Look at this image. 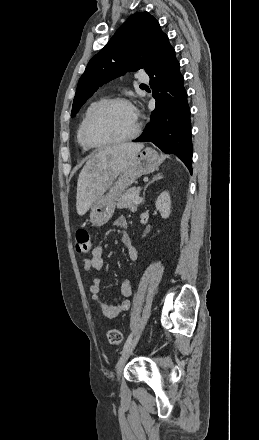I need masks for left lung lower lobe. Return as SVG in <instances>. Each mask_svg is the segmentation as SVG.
I'll return each instance as SVG.
<instances>
[{
    "mask_svg": "<svg viewBox=\"0 0 259 440\" xmlns=\"http://www.w3.org/2000/svg\"><path fill=\"white\" fill-rule=\"evenodd\" d=\"M179 68L166 37L146 70L156 107L144 132L134 142L154 143L164 153L180 158L192 173L190 109Z\"/></svg>",
    "mask_w": 259,
    "mask_h": 440,
    "instance_id": "0a47b994",
    "label": "left lung lower lobe"
}]
</instances>
